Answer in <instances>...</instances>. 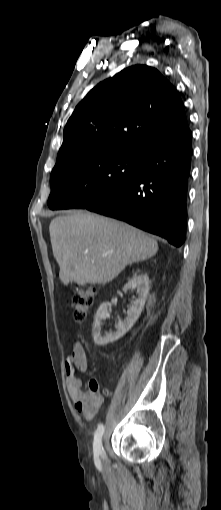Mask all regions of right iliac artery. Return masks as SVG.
Returning <instances> with one entry per match:
<instances>
[{
	"mask_svg": "<svg viewBox=\"0 0 221 510\" xmlns=\"http://www.w3.org/2000/svg\"><path fill=\"white\" fill-rule=\"evenodd\" d=\"M104 433V426L103 424L98 425V428L94 435V442H93V451L95 456L101 455L102 457L106 458V454L104 451V448L102 446V436Z\"/></svg>",
	"mask_w": 221,
	"mask_h": 510,
	"instance_id": "right-iliac-artery-1",
	"label": "right iliac artery"
}]
</instances>
